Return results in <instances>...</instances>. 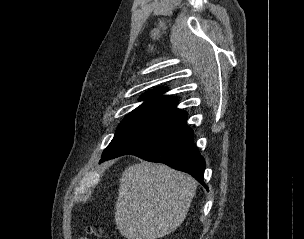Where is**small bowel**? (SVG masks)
Wrapping results in <instances>:
<instances>
[{"instance_id": "small-bowel-1", "label": "small bowel", "mask_w": 304, "mask_h": 239, "mask_svg": "<svg viewBox=\"0 0 304 239\" xmlns=\"http://www.w3.org/2000/svg\"><path fill=\"white\" fill-rule=\"evenodd\" d=\"M79 239H89V238L83 237V238H79Z\"/></svg>"}]
</instances>
